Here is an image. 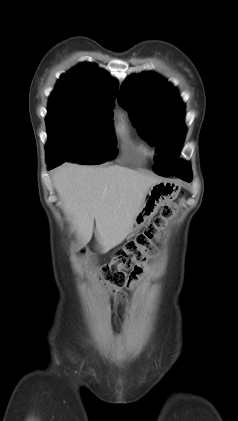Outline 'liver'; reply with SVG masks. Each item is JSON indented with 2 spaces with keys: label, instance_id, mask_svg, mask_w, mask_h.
Masks as SVG:
<instances>
[{
  "label": "liver",
  "instance_id": "obj_1",
  "mask_svg": "<svg viewBox=\"0 0 238 421\" xmlns=\"http://www.w3.org/2000/svg\"><path fill=\"white\" fill-rule=\"evenodd\" d=\"M159 179L130 168L66 163L55 170L53 184L77 238L86 245L93 234L104 252L131 232L145 194Z\"/></svg>",
  "mask_w": 238,
  "mask_h": 421
}]
</instances>
